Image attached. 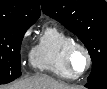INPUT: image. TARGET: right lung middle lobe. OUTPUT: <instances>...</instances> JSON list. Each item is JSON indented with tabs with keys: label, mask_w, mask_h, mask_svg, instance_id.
Returning <instances> with one entry per match:
<instances>
[{
	"label": "right lung middle lobe",
	"mask_w": 107,
	"mask_h": 89,
	"mask_svg": "<svg viewBox=\"0 0 107 89\" xmlns=\"http://www.w3.org/2000/svg\"><path fill=\"white\" fill-rule=\"evenodd\" d=\"M28 27L0 21V84L21 75L20 46Z\"/></svg>",
	"instance_id": "obj_1"
}]
</instances>
